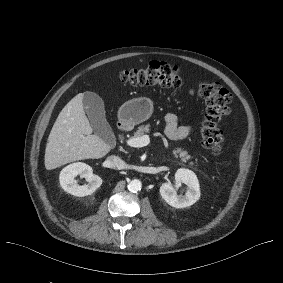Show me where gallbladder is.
I'll use <instances>...</instances> for the list:
<instances>
[{
  "mask_svg": "<svg viewBox=\"0 0 283 283\" xmlns=\"http://www.w3.org/2000/svg\"><path fill=\"white\" fill-rule=\"evenodd\" d=\"M83 107L90 120L93 132L108 143L114 142V134L106 119L103 99L94 92H85Z\"/></svg>",
  "mask_w": 283,
  "mask_h": 283,
  "instance_id": "obj_1",
  "label": "gallbladder"
}]
</instances>
